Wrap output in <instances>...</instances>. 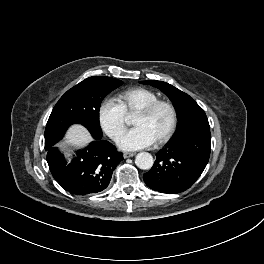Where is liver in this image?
<instances>
[{"instance_id":"liver-1","label":"liver","mask_w":264,"mask_h":264,"mask_svg":"<svg viewBox=\"0 0 264 264\" xmlns=\"http://www.w3.org/2000/svg\"><path fill=\"white\" fill-rule=\"evenodd\" d=\"M93 141L89 131L82 125H73L66 133L65 140L58 144L61 148L67 146L83 147Z\"/></svg>"}]
</instances>
